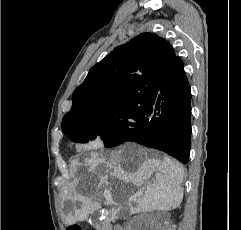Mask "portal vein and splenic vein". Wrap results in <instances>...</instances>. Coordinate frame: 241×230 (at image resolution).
<instances>
[{
  "instance_id": "portal-vein-and-splenic-vein-1",
  "label": "portal vein and splenic vein",
  "mask_w": 241,
  "mask_h": 230,
  "mask_svg": "<svg viewBox=\"0 0 241 230\" xmlns=\"http://www.w3.org/2000/svg\"><path fill=\"white\" fill-rule=\"evenodd\" d=\"M104 197L106 198V200L111 201L112 197L110 195H104ZM134 200H136V198H134Z\"/></svg>"
}]
</instances>
